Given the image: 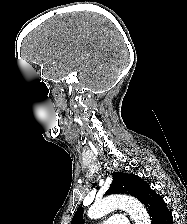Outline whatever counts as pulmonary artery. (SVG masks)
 <instances>
[{"mask_svg": "<svg viewBox=\"0 0 187 224\" xmlns=\"http://www.w3.org/2000/svg\"><path fill=\"white\" fill-rule=\"evenodd\" d=\"M99 224H127V222L124 219L113 216L109 218L108 220H105Z\"/></svg>", "mask_w": 187, "mask_h": 224, "instance_id": "obj_1", "label": "pulmonary artery"}]
</instances>
